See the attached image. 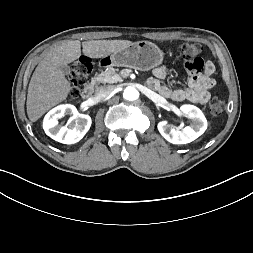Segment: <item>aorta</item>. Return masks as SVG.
Instances as JSON below:
<instances>
[{"label": "aorta", "instance_id": "1", "mask_svg": "<svg viewBox=\"0 0 253 253\" xmlns=\"http://www.w3.org/2000/svg\"><path fill=\"white\" fill-rule=\"evenodd\" d=\"M123 97L126 100L134 101L138 99L139 92L134 87H126L123 92Z\"/></svg>", "mask_w": 253, "mask_h": 253}]
</instances>
